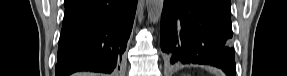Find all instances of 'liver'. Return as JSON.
Here are the masks:
<instances>
[{"mask_svg": "<svg viewBox=\"0 0 287 76\" xmlns=\"http://www.w3.org/2000/svg\"><path fill=\"white\" fill-rule=\"evenodd\" d=\"M77 76H96V75H93V73H79V75Z\"/></svg>", "mask_w": 287, "mask_h": 76, "instance_id": "obj_1", "label": "liver"}]
</instances>
